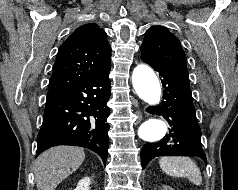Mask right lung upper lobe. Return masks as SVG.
I'll use <instances>...</instances> for the list:
<instances>
[{"mask_svg": "<svg viewBox=\"0 0 238 190\" xmlns=\"http://www.w3.org/2000/svg\"><path fill=\"white\" fill-rule=\"evenodd\" d=\"M95 23L78 27L58 50L47 99L110 67L111 47Z\"/></svg>", "mask_w": 238, "mask_h": 190, "instance_id": "1", "label": "right lung upper lobe"}]
</instances>
